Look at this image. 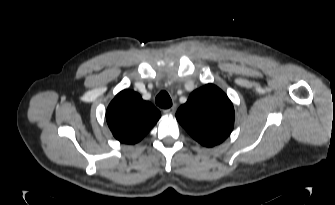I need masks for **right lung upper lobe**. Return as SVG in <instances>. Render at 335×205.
<instances>
[{"label":"right lung upper lobe","mask_w":335,"mask_h":205,"mask_svg":"<svg viewBox=\"0 0 335 205\" xmlns=\"http://www.w3.org/2000/svg\"><path fill=\"white\" fill-rule=\"evenodd\" d=\"M160 117L161 113L154 105L128 89L118 93L106 111L113 136L125 144L139 142Z\"/></svg>","instance_id":"obj_1"}]
</instances>
